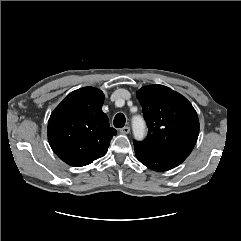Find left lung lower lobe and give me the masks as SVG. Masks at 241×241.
<instances>
[{
    "mask_svg": "<svg viewBox=\"0 0 241 241\" xmlns=\"http://www.w3.org/2000/svg\"><path fill=\"white\" fill-rule=\"evenodd\" d=\"M137 159L155 171H167L181 164L189 154L174 151H159L134 142Z\"/></svg>",
    "mask_w": 241,
    "mask_h": 241,
    "instance_id": "left-lung-lower-lobe-1",
    "label": "left lung lower lobe"
}]
</instances>
